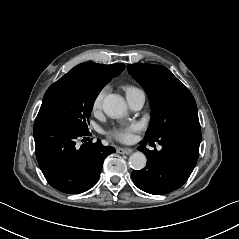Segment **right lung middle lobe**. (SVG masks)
<instances>
[{
    "instance_id": "dd1d6c3e",
    "label": "right lung middle lobe",
    "mask_w": 239,
    "mask_h": 239,
    "mask_svg": "<svg viewBox=\"0 0 239 239\" xmlns=\"http://www.w3.org/2000/svg\"><path fill=\"white\" fill-rule=\"evenodd\" d=\"M104 86L101 81L82 80L68 72L46 91L35 122L55 119L88 131L94 101Z\"/></svg>"
}]
</instances>
